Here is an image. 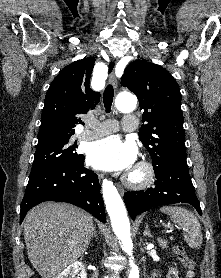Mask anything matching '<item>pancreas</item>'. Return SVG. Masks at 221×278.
<instances>
[{
  "mask_svg": "<svg viewBox=\"0 0 221 278\" xmlns=\"http://www.w3.org/2000/svg\"><path fill=\"white\" fill-rule=\"evenodd\" d=\"M158 243L162 247V249L168 248V241L166 239L158 238Z\"/></svg>",
  "mask_w": 221,
  "mask_h": 278,
  "instance_id": "1",
  "label": "pancreas"
}]
</instances>
